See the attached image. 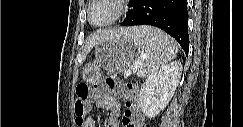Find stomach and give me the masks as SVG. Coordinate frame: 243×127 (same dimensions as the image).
I'll return each instance as SVG.
<instances>
[{"instance_id":"stomach-1","label":"stomach","mask_w":243,"mask_h":127,"mask_svg":"<svg viewBox=\"0 0 243 127\" xmlns=\"http://www.w3.org/2000/svg\"><path fill=\"white\" fill-rule=\"evenodd\" d=\"M140 56V48L131 35H122L97 44L95 59L83 69V79L91 84L102 78V70L123 72L133 66Z\"/></svg>"}]
</instances>
